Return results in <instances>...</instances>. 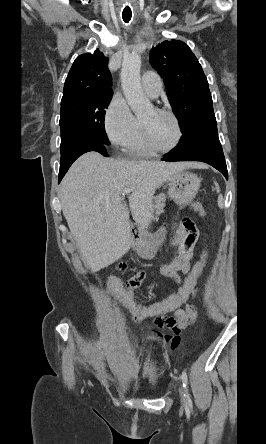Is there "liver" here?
<instances>
[{"label":"liver","mask_w":266,"mask_h":444,"mask_svg":"<svg viewBox=\"0 0 266 444\" xmlns=\"http://www.w3.org/2000/svg\"><path fill=\"white\" fill-rule=\"evenodd\" d=\"M195 162L130 161L88 152L71 166L60 185L63 214L81 256L92 272L116 262L132 246L129 206L140 230L152 218L155 191L175 174L203 168Z\"/></svg>","instance_id":"liver-1"}]
</instances>
